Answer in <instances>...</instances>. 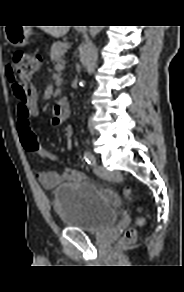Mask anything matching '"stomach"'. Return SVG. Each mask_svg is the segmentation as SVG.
<instances>
[{
    "instance_id": "obj_1",
    "label": "stomach",
    "mask_w": 184,
    "mask_h": 292,
    "mask_svg": "<svg viewBox=\"0 0 184 292\" xmlns=\"http://www.w3.org/2000/svg\"><path fill=\"white\" fill-rule=\"evenodd\" d=\"M31 29L29 27H7L6 39L14 47H24L28 44Z\"/></svg>"
}]
</instances>
